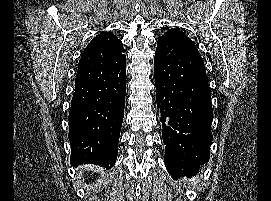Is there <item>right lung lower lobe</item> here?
<instances>
[{
    "label": "right lung lower lobe",
    "mask_w": 271,
    "mask_h": 201,
    "mask_svg": "<svg viewBox=\"0 0 271 201\" xmlns=\"http://www.w3.org/2000/svg\"><path fill=\"white\" fill-rule=\"evenodd\" d=\"M123 52L117 37L100 33L81 56L69 112L74 166L95 164L108 170L116 162L126 94Z\"/></svg>",
    "instance_id": "obj_1"
}]
</instances>
